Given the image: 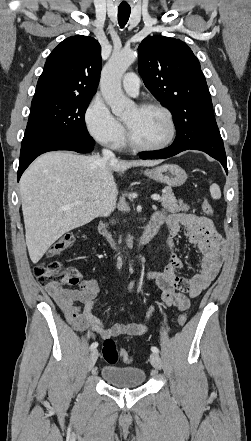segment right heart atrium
<instances>
[{"label":"right heart atrium","instance_id":"right-heart-atrium-1","mask_svg":"<svg viewBox=\"0 0 251 441\" xmlns=\"http://www.w3.org/2000/svg\"><path fill=\"white\" fill-rule=\"evenodd\" d=\"M84 119L89 134L96 141L108 146L120 144L124 128L100 97L96 96L91 100Z\"/></svg>","mask_w":251,"mask_h":441}]
</instances>
